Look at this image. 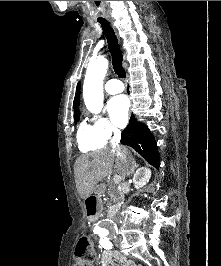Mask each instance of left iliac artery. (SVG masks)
Here are the masks:
<instances>
[{
    "instance_id": "left-iliac-artery-1",
    "label": "left iliac artery",
    "mask_w": 221,
    "mask_h": 266,
    "mask_svg": "<svg viewBox=\"0 0 221 266\" xmlns=\"http://www.w3.org/2000/svg\"><path fill=\"white\" fill-rule=\"evenodd\" d=\"M97 234H99V236L101 237L99 242L101 246L105 249H112V243L109 241L108 238H106L108 233L99 231Z\"/></svg>"
}]
</instances>
